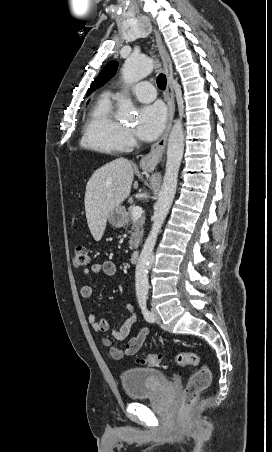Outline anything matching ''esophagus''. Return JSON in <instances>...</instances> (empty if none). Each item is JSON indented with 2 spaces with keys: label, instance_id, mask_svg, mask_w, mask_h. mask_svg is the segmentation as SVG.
I'll return each instance as SVG.
<instances>
[{
  "label": "esophagus",
  "instance_id": "esophagus-1",
  "mask_svg": "<svg viewBox=\"0 0 272 452\" xmlns=\"http://www.w3.org/2000/svg\"><path fill=\"white\" fill-rule=\"evenodd\" d=\"M154 33L158 51L162 59L163 69L167 77L166 91H167L168 118L167 125L162 136L156 143L152 145L150 152L140 160V166L144 168H155L159 163L160 159L162 158L175 113L174 89L172 85L173 79L172 61L163 44L159 32L155 29Z\"/></svg>",
  "mask_w": 272,
  "mask_h": 452
}]
</instances>
